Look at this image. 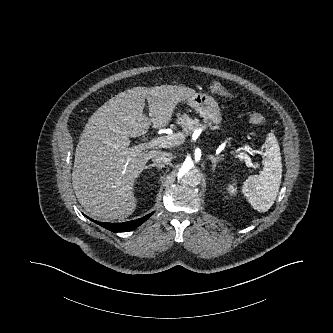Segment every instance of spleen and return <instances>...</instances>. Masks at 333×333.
Instances as JSON below:
<instances>
[{
	"mask_svg": "<svg viewBox=\"0 0 333 333\" xmlns=\"http://www.w3.org/2000/svg\"><path fill=\"white\" fill-rule=\"evenodd\" d=\"M265 148L263 171L260 175L249 176L242 186L243 194L259 212L268 211L273 205L282 178L280 148L274 134L267 136Z\"/></svg>",
	"mask_w": 333,
	"mask_h": 333,
	"instance_id": "obj_1",
	"label": "spleen"
}]
</instances>
